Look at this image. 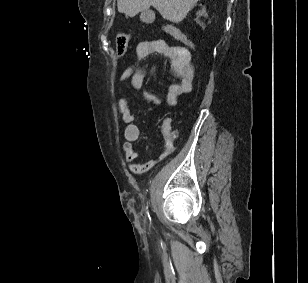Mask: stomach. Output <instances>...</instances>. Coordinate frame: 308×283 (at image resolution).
I'll use <instances>...</instances> for the list:
<instances>
[{"instance_id":"obj_1","label":"stomach","mask_w":308,"mask_h":283,"mask_svg":"<svg viewBox=\"0 0 308 283\" xmlns=\"http://www.w3.org/2000/svg\"><path fill=\"white\" fill-rule=\"evenodd\" d=\"M141 18H142L143 21H148V18L146 17L145 12L141 14Z\"/></svg>"}]
</instances>
